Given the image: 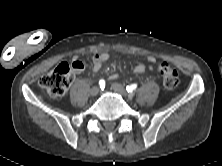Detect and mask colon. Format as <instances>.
<instances>
[{
  "instance_id": "obj_1",
  "label": "colon",
  "mask_w": 222,
  "mask_h": 166,
  "mask_svg": "<svg viewBox=\"0 0 222 166\" xmlns=\"http://www.w3.org/2000/svg\"><path fill=\"white\" fill-rule=\"evenodd\" d=\"M80 64L61 63L39 79V85L51 97L63 96L74 80V71L80 69ZM159 72L163 85L167 89H175L179 85V73L168 63H161Z\"/></svg>"
}]
</instances>
